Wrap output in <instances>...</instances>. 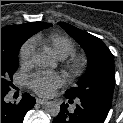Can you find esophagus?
Wrapping results in <instances>:
<instances>
[{
    "label": "esophagus",
    "mask_w": 123,
    "mask_h": 123,
    "mask_svg": "<svg viewBox=\"0 0 123 123\" xmlns=\"http://www.w3.org/2000/svg\"><path fill=\"white\" fill-rule=\"evenodd\" d=\"M36 101H37V103H39V104H41V105H45V104H47V102H48L47 100L40 99V98H37Z\"/></svg>",
    "instance_id": "esophagus-1"
}]
</instances>
